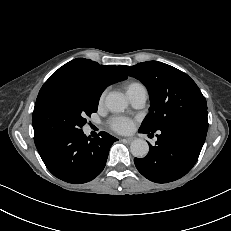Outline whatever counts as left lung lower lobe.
<instances>
[{"instance_id": "0a47b994", "label": "left lung lower lobe", "mask_w": 231, "mask_h": 231, "mask_svg": "<svg viewBox=\"0 0 231 231\" xmlns=\"http://www.w3.org/2000/svg\"><path fill=\"white\" fill-rule=\"evenodd\" d=\"M208 129L207 119L188 118L159 129L156 145L149 144L146 157L135 158L138 171L156 183L175 181L186 175L195 165ZM139 132L153 134L142 127Z\"/></svg>"}]
</instances>
